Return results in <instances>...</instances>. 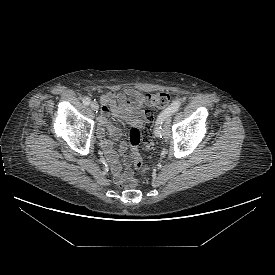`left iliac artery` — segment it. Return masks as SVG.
<instances>
[{"label":"left iliac artery","mask_w":275,"mask_h":275,"mask_svg":"<svg viewBox=\"0 0 275 275\" xmlns=\"http://www.w3.org/2000/svg\"><path fill=\"white\" fill-rule=\"evenodd\" d=\"M180 107H181V102L175 101L158 116L155 124V130H154V133L157 137L162 138L161 129L165 119H167L169 116L177 112Z\"/></svg>","instance_id":"obj_1"}]
</instances>
